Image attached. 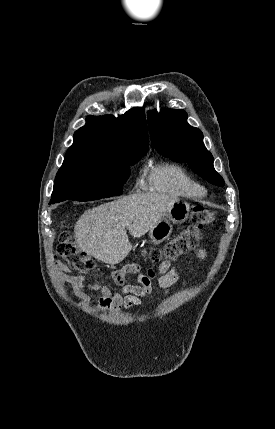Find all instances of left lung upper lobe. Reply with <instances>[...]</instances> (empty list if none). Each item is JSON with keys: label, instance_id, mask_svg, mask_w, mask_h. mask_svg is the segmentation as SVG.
I'll use <instances>...</instances> for the list:
<instances>
[{"label": "left lung upper lobe", "instance_id": "obj_1", "mask_svg": "<svg viewBox=\"0 0 275 429\" xmlns=\"http://www.w3.org/2000/svg\"><path fill=\"white\" fill-rule=\"evenodd\" d=\"M148 124L151 141L159 153L176 162L188 163L211 184L224 186L223 178L214 169L212 154L203 144L201 130L187 123L185 111H149Z\"/></svg>", "mask_w": 275, "mask_h": 429}]
</instances>
